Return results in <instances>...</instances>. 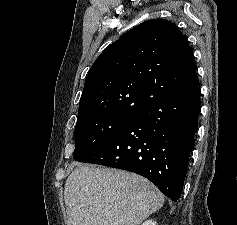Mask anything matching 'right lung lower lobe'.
I'll use <instances>...</instances> for the list:
<instances>
[{
	"label": "right lung lower lobe",
	"instance_id": "right-lung-lower-lobe-1",
	"mask_svg": "<svg viewBox=\"0 0 237 225\" xmlns=\"http://www.w3.org/2000/svg\"><path fill=\"white\" fill-rule=\"evenodd\" d=\"M200 94L196 85L149 104L79 161L135 172L177 201L198 129Z\"/></svg>",
	"mask_w": 237,
	"mask_h": 225
}]
</instances>
